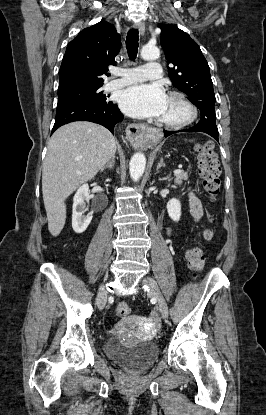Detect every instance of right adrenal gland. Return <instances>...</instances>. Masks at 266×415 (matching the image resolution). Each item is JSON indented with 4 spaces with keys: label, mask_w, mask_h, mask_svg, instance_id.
<instances>
[{
    "label": "right adrenal gland",
    "mask_w": 266,
    "mask_h": 415,
    "mask_svg": "<svg viewBox=\"0 0 266 415\" xmlns=\"http://www.w3.org/2000/svg\"><path fill=\"white\" fill-rule=\"evenodd\" d=\"M114 165H115V156H113L110 159V161L104 167L101 168V172L107 168H109L110 170L113 169Z\"/></svg>",
    "instance_id": "right-adrenal-gland-1"
}]
</instances>
